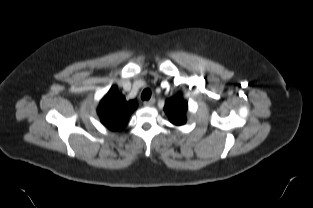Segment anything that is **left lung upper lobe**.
<instances>
[{"label":"left lung upper lobe","instance_id":"5c2ea615","mask_svg":"<svg viewBox=\"0 0 313 208\" xmlns=\"http://www.w3.org/2000/svg\"><path fill=\"white\" fill-rule=\"evenodd\" d=\"M188 103L181 95L169 98L165 102L164 111L174 125H183L186 122Z\"/></svg>","mask_w":313,"mask_h":208}]
</instances>
